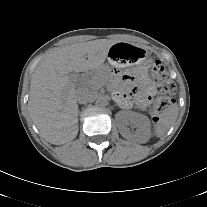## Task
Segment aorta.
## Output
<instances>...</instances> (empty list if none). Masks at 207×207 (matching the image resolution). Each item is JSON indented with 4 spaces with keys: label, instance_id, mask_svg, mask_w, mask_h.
<instances>
[{
    "label": "aorta",
    "instance_id": "obj_1",
    "mask_svg": "<svg viewBox=\"0 0 207 207\" xmlns=\"http://www.w3.org/2000/svg\"><path fill=\"white\" fill-rule=\"evenodd\" d=\"M96 106L104 107L107 105V99L104 96H99L95 101Z\"/></svg>",
    "mask_w": 207,
    "mask_h": 207
}]
</instances>
